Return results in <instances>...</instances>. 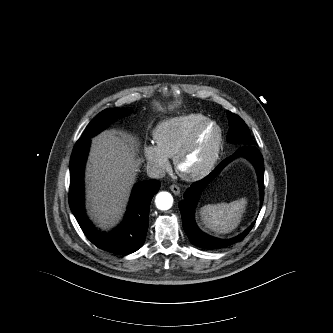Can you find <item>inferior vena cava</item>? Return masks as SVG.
Masks as SVG:
<instances>
[{
  "label": "inferior vena cava",
  "instance_id": "obj_1",
  "mask_svg": "<svg viewBox=\"0 0 333 333\" xmlns=\"http://www.w3.org/2000/svg\"><path fill=\"white\" fill-rule=\"evenodd\" d=\"M165 170L159 167L158 165H148L147 166V175L150 178L161 179L165 176Z\"/></svg>",
  "mask_w": 333,
  "mask_h": 333
}]
</instances>
